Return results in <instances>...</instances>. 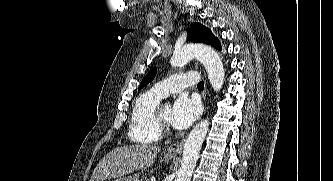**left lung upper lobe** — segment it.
<instances>
[{"instance_id":"left-lung-upper-lobe-1","label":"left lung upper lobe","mask_w":333,"mask_h":181,"mask_svg":"<svg viewBox=\"0 0 333 181\" xmlns=\"http://www.w3.org/2000/svg\"><path fill=\"white\" fill-rule=\"evenodd\" d=\"M189 39L194 42H201L206 43L214 46L217 49H221L220 43L218 39H216L211 31L207 29L205 26L201 25L200 23H193L190 27L189 31ZM157 73V68H152L148 74L145 76V78L141 81L139 90L147 85L150 81H152Z\"/></svg>"}]
</instances>
